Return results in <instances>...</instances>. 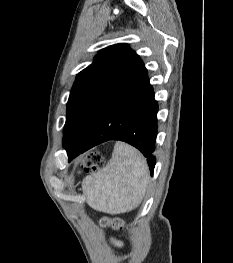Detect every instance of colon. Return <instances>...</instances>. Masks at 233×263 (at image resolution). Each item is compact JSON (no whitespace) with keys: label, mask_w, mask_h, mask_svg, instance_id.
Wrapping results in <instances>:
<instances>
[{"label":"colon","mask_w":233,"mask_h":263,"mask_svg":"<svg viewBox=\"0 0 233 263\" xmlns=\"http://www.w3.org/2000/svg\"><path fill=\"white\" fill-rule=\"evenodd\" d=\"M105 161L100 152H91L85 157V169L87 171H95L104 165ZM101 224L106 226L110 225L115 229H121L123 227V221L118 218H104L101 220Z\"/></svg>","instance_id":"obj_1"}]
</instances>
